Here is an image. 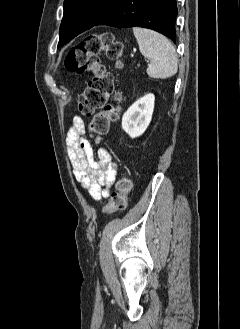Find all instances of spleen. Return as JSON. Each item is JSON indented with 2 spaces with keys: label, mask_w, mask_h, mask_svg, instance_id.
<instances>
[{
  "label": "spleen",
  "mask_w": 240,
  "mask_h": 329,
  "mask_svg": "<svg viewBox=\"0 0 240 329\" xmlns=\"http://www.w3.org/2000/svg\"><path fill=\"white\" fill-rule=\"evenodd\" d=\"M141 54L150 60L147 74L154 79H167L177 73L178 57L172 43L163 35L145 28H133Z\"/></svg>",
  "instance_id": "obj_1"
}]
</instances>
